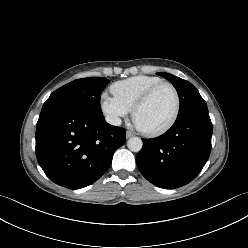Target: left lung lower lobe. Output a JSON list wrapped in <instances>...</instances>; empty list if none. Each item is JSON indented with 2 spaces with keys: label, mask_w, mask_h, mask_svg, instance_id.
Returning a JSON list of instances; mask_svg holds the SVG:
<instances>
[{
  "label": "left lung lower lobe",
  "mask_w": 248,
  "mask_h": 248,
  "mask_svg": "<svg viewBox=\"0 0 248 248\" xmlns=\"http://www.w3.org/2000/svg\"><path fill=\"white\" fill-rule=\"evenodd\" d=\"M212 123L207 106L177 118L163 135L142 139L138 169L152 184L174 189L191 182L211 152Z\"/></svg>",
  "instance_id": "left-lung-lower-lobe-1"
}]
</instances>
